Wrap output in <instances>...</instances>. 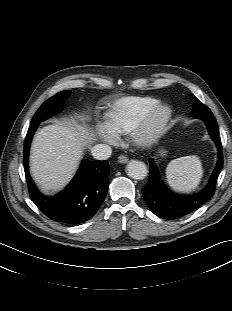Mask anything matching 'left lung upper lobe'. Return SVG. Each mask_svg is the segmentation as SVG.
Segmentation results:
<instances>
[{"label":"left lung upper lobe","mask_w":232,"mask_h":311,"mask_svg":"<svg viewBox=\"0 0 232 311\" xmlns=\"http://www.w3.org/2000/svg\"><path fill=\"white\" fill-rule=\"evenodd\" d=\"M211 110L202 104L198 99L195 100L191 115L209 113Z\"/></svg>","instance_id":"1"}]
</instances>
